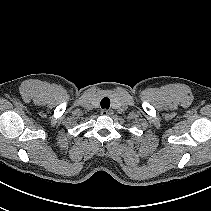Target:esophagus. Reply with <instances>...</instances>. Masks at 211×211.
<instances>
[{
    "label": "esophagus",
    "instance_id": "esophagus-1",
    "mask_svg": "<svg viewBox=\"0 0 211 211\" xmlns=\"http://www.w3.org/2000/svg\"><path fill=\"white\" fill-rule=\"evenodd\" d=\"M112 114H113V110H111V109L101 111V115H103V116H111Z\"/></svg>",
    "mask_w": 211,
    "mask_h": 211
}]
</instances>
